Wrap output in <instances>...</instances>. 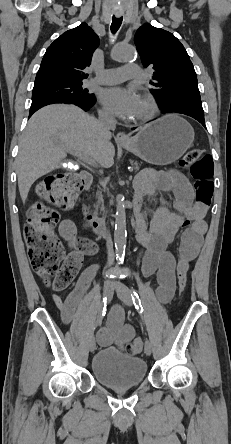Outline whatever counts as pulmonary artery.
Returning <instances> with one entry per match:
<instances>
[{
  "mask_svg": "<svg viewBox=\"0 0 231 444\" xmlns=\"http://www.w3.org/2000/svg\"><path fill=\"white\" fill-rule=\"evenodd\" d=\"M141 77L140 69L134 64H125L124 66L116 69H106L97 72L93 84L109 85L117 84L126 79H139Z\"/></svg>",
  "mask_w": 231,
  "mask_h": 444,
  "instance_id": "obj_1",
  "label": "pulmonary artery"
}]
</instances>
